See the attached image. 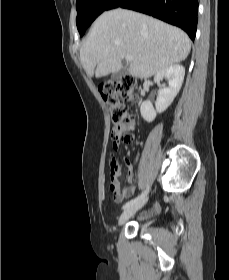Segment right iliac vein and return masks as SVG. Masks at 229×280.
<instances>
[{
	"instance_id": "63e3f726",
	"label": "right iliac vein",
	"mask_w": 229,
	"mask_h": 280,
	"mask_svg": "<svg viewBox=\"0 0 229 280\" xmlns=\"http://www.w3.org/2000/svg\"><path fill=\"white\" fill-rule=\"evenodd\" d=\"M147 198L139 201L138 203L125 209L118 219V225H123L133 214H135L139 209H141L147 202Z\"/></svg>"
}]
</instances>
